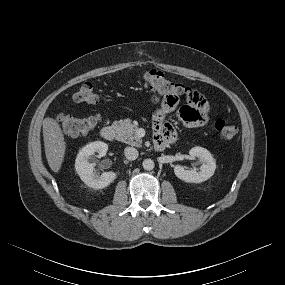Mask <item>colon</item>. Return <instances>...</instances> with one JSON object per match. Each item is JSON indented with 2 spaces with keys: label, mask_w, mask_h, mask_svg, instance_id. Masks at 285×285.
Returning a JSON list of instances; mask_svg holds the SVG:
<instances>
[{
  "label": "colon",
  "mask_w": 285,
  "mask_h": 285,
  "mask_svg": "<svg viewBox=\"0 0 285 285\" xmlns=\"http://www.w3.org/2000/svg\"><path fill=\"white\" fill-rule=\"evenodd\" d=\"M144 85L151 91L160 90L164 94L174 93L179 96V98L184 96L189 98L194 94V91L189 87L173 81L157 70H151L144 75ZM74 100L78 103L95 104L98 101V96L94 86L90 82L82 84L80 89L74 94ZM99 120L98 116L83 118L65 114L58 116V122L62 131L72 137L86 135L92 132L96 128ZM214 129L218 137L223 141L233 139L239 131V127L236 124L224 120L216 121Z\"/></svg>",
  "instance_id": "colon-1"
}]
</instances>
